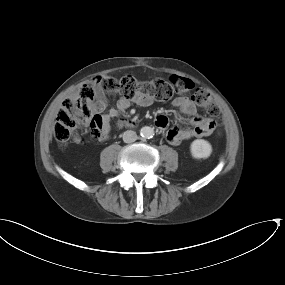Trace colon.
Returning <instances> with one entry per match:
<instances>
[{
	"mask_svg": "<svg viewBox=\"0 0 285 285\" xmlns=\"http://www.w3.org/2000/svg\"><path fill=\"white\" fill-rule=\"evenodd\" d=\"M119 91L123 97L130 99L139 95H148L160 101H165L175 94L186 93L194 90L192 101L202 107L210 116L218 112V107L210 94L203 88H196L194 82L186 77L172 75L168 79L157 78L151 81H138L132 76H124L120 79L111 77H97L93 81L86 82L77 88V97L68 99L62 105L58 113L54 133L56 140L65 145L75 136L77 129L85 128L90 124V135L94 140L103 137L104 128L97 117H91L88 105L95 99L96 90ZM166 118L163 115L155 119L156 125H163ZM216 127L214 121H210L207 130L202 134L213 132Z\"/></svg>",
	"mask_w": 285,
	"mask_h": 285,
	"instance_id": "5ec220e1",
	"label": "colon"
}]
</instances>
